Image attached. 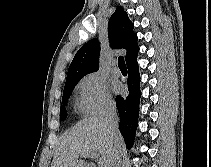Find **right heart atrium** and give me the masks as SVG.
I'll list each match as a JSON object with an SVG mask.
<instances>
[{
	"label": "right heart atrium",
	"instance_id": "right-heart-atrium-1",
	"mask_svg": "<svg viewBox=\"0 0 211 167\" xmlns=\"http://www.w3.org/2000/svg\"><path fill=\"white\" fill-rule=\"evenodd\" d=\"M78 108L87 115H102L113 107L105 80L98 73L85 75L77 85Z\"/></svg>",
	"mask_w": 211,
	"mask_h": 167
}]
</instances>
